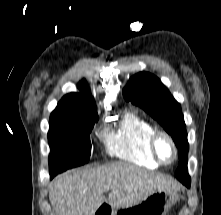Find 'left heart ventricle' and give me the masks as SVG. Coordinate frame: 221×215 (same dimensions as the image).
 I'll return each instance as SVG.
<instances>
[{
	"label": "left heart ventricle",
	"mask_w": 221,
	"mask_h": 215,
	"mask_svg": "<svg viewBox=\"0 0 221 215\" xmlns=\"http://www.w3.org/2000/svg\"><path fill=\"white\" fill-rule=\"evenodd\" d=\"M160 152L165 158H167L170 155V150L166 143L162 142L160 144Z\"/></svg>",
	"instance_id": "left-heart-ventricle-1"
}]
</instances>
